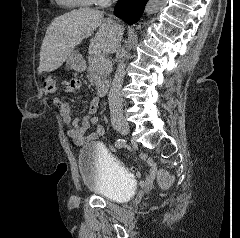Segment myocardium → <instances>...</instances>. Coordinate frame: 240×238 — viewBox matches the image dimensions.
<instances>
[{"instance_id":"1","label":"myocardium","mask_w":240,"mask_h":238,"mask_svg":"<svg viewBox=\"0 0 240 238\" xmlns=\"http://www.w3.org/2000/svg\"><path fill=\"white\" fill-rule=\"evenodd\" d=\"M83 1L86 2L87 4H96L101 2V0H83Z\"/></svg>"}]
</instances>
